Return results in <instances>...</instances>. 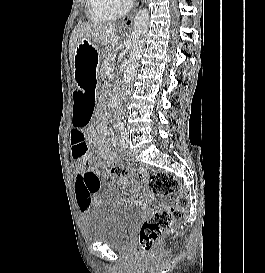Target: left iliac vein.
<instances>
[{
  "mask_svg": "<svg viewBox=\"0 0 265 273\" xmlns=\"http://www.w3.org/2000/svg\"><path fill=\"white\" fill-rule=\"evenodd\" d=\"M120 142L124 148L129 146V138L127 132H122L120 135Z\"/></svg>",
  "mask_w": 265,
  "mask_h": 273,
  "instance_id": "left-iliac-vein-1",
  "label": "left iliac vein"
}]
</instances>
